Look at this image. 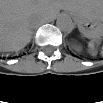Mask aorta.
Instances as JSON below:
<instances>
[{"mask_svg": "<svg viewBox=\"0 0 103 103\" xmlns=\"http://www.w3.org/2000/svg\"><path fill=\"white\" fill-rule=\"evenodd\" d=\"M56 25L63 32H71L74 26L72 19L64 14L57 18Z\"/></svg>", "mask_w": 103, "mask_h": 103, "instance_id": "762f6f07", "label": "aorta"}]
</instances>
